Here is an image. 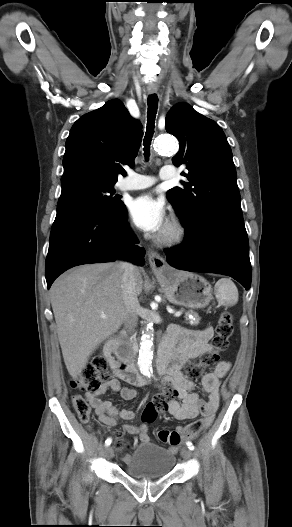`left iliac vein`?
<instances>
[{
  "mask_svg": "<svg viewBox=\"0 0 292 527\" xmlns=\"http://www.w3.org/2000/svg\"><path fill=\"white\" fill-rule=\"evenodd\" d=\"M192 455V452L189 448L187 447H184L181 451V456L184 458V459H189Z\"/></svg>",
  "mask_w": 292,
  "mask_h": 527,
  "instance_id": "1",
  "label": "left iliac vein"
}]
</instances>
